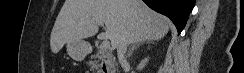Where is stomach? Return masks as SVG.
Instances as JSON below:
<instances>
[{
  "mask_svg": "<svg viewBox=\"0 0 244 73\" xmlns=\"http://www.w3.org/2000/svg\"><path fill=\"white\" fill-rule=\"evenodd\" d=\"M88 49V44L83 40H71L67 42V52L76 61H82L86 57Z\"/></svg>",
  "mask_w": 244,
  "mask_h": 73,
  "instance_id": "0dacf381",
  "label": "stomach"
}]
</instances>
